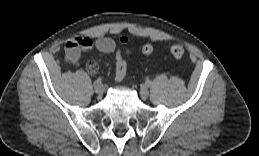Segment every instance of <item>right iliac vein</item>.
<instances>
[{
	"label": "right iliac vein",
	"instance_id": "obj_1",
	"mask_svg": "<svg viewBox=\"0 0 259 156\" xmlns=\"http://www.w3.org/2000/svg\"><path fill=\"white\" fill-rule=\"evenodd\" d=\"M95 93L99 96H102V94L104 93V87L102 85H99L95 88Z\"/></svg>",
	"mask_w": 259,
	"mask_h": 156
}]
</instances>
